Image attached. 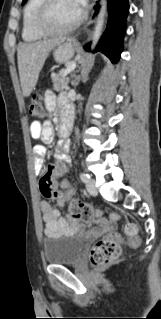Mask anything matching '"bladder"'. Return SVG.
Instances as JSON below:
<instances>
[{"mask_svg": "<svg viewBox=\"0 0 161 319\" xmlns=\"http://www.w3.org/2000/svg\"><path fill=\"white\" fill-rule=\"evenodd\" d=\"M85 242L78 235H47L43 239V256L46 264L74 265L83 257Z\"/></svg>", "mask_w": 161, "mask_h": 319, "instance_id": "bladder-1", "label": "bladder"}]
</instances>
